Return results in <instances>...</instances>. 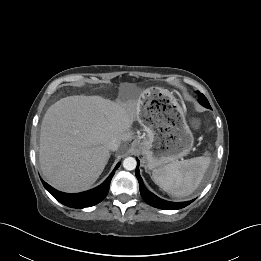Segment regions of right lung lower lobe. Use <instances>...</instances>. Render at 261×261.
Wrapping results in <instances>:
<instances>
[{
    "instance_id": "98d812e1",
    "label": "right lung lower lobe",
    "mask_w": 261,
    "mask_h": 261,
    "mask_svg": "<svg viewBox=\"0 0 261 261\" xmlns=\"http://www.w3.org/2000/svg\"><path fill=\"white\" fill-rule=\"evenodd\" d=\"M120 163L117 164L115 169L109 175V177L98 187L85 191L82 193L77 194H69L57 191L56 189L52 188L49 184L42 180V183L47 191H49L55 199H57L60 203L72 207V208H84L90 207L100 203L108 194L111 179L118 169Z\"/></svg>"
}]
</instances>
